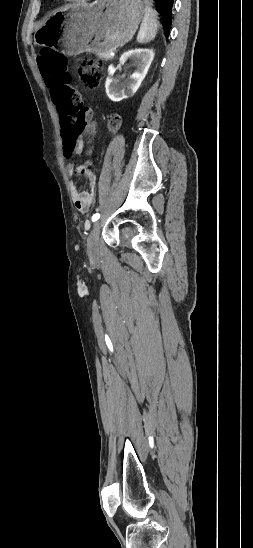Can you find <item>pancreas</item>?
I'll list each match as a JSON object with an SVG mask.
<instances>
[{
	"label": "pancreas",
	"mask_w": 253,
	"mask_h": 548,
	"mask_svg": "<svg viewBox=\"0 0 253 548\" xmlns=\"http://www.w3.org/2000/svg\"><path fill=\"white\" fill-rule=\"evenodd\" d=\"M98 56H99V58L102 59V60H111V59H112V56L110 55V52H107V53H99Z\"/></svg>",
	"instance_id": "cf45deb5"
}]
</instances>
